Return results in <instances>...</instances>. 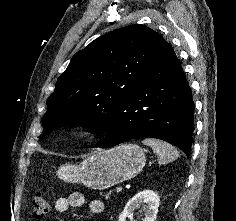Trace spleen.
Instances as JSON below:
<instances>
[{
	"mask_svg": "<svg viewBox=\"0 0 236 221\" xmlns=\"http://www.w3.org/2000/svg\"><path fill=\"white\" fill-rule=\"evenodd\" d=\"M142 142L144 145L152 148L154 153L158 156L159 164L172 162L179 157V153L176 148L165 141L154 138H146Z\"/></svg>",
	"mask_w": 236,
	"mask_h": 221,
	"instance_id": "obj_1",
	"label": "spleen"
}]
</instances>
